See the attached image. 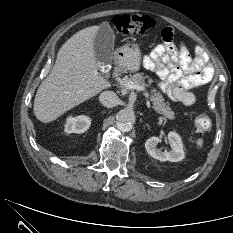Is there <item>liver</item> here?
Instances as JSON below:
<instances>
[{"label":"liver","instance_id":"6515ba94","mask_svg":"<svg viewBox=\"0 0 233 233\" xmlns=\"http://www.w3.org/2000/svg\"><path fill=\"white\" fill-rule=\"evenodd\" d=\"M98 30L99 26L84 28L60 48L34 99V114L39 121L51 122L111 86L98 73L93 48Z\"/></svg>","mask_w":233,"mask_h":233}]
</instances>
